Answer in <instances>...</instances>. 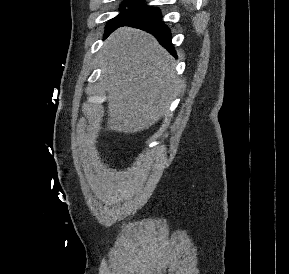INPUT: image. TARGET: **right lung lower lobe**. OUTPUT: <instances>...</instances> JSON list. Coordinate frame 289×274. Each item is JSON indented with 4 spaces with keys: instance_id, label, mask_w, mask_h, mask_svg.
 Here are the masks:
<instances>
[{
    "instance_id": "right-lung-lower-lobe-1",
    "label": "right lung lower lobe",
    "mask_w": 289,
    "mask_h": 274,
    "mask_svg": "<svg viewBox=\"0 0 289 274\" xmlns=\"http://www.w3.org/2000/svg\"><path fill=\"white\" fill-rule=\"evenodd\" d=\"M122 26L140 28L153 34L159 43L165 47L173 56H176L174 47L171 43L170 29L162 22L161 12L157 8H150L144 13L123 23Z\"/></svg>"
}]
</instances>
